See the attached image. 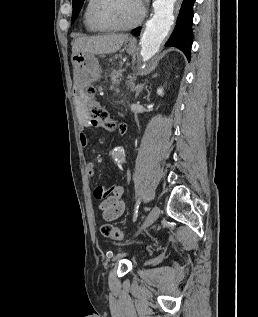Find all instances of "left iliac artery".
Here are the masks:
<instances>
[{
    "instance_id": "1",
    "label": "left iliac artery",
    "mask_w": 258,
    "mask_h": 317,
    "mask_svg": "<svg viewBox=\"0 0 258 317\" xmlns=\"http://www.w3.org/2000/svg\"><path fill=\"white\" fill-rule=\"evenodd\" d=\"M140 204H141V199H138L136 204H135V208H134L133 222H136V220L138 218Z\"/></svg>"
}]
</instances>
